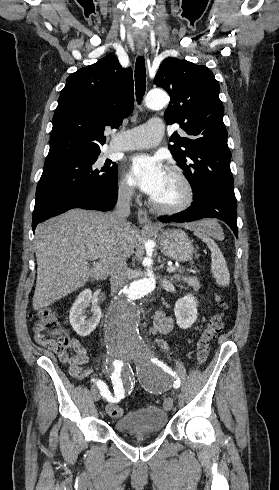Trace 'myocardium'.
Returning <instances> with one entry per match:
<instances>
[{
  "label": "myocardium",
  "mask_w": 279,
  "mask_h": 490,
  "mask_svg": "<svg viewBox=\"0 0 279 490\" xmlns=\"http://www.w3.org/2000/svg\"><path fill=\"white\" fill-rule=\"evenodd\" d=\"M168 172L171 173L182 185L184 192L183 197L173 204L161 203L154 199L151 201V206L156 212L171 216L183 212L192 204L194 200V189L189 178L180 167L175 165L170 166L168 168Z\"/></svg>",
  "instance_id": "myocardium-1"
}]
</instances>
